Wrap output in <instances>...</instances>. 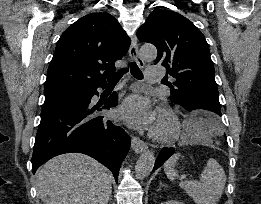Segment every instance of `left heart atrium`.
Segmentation results:
<instances>
[{
  "label": "left heart atrium",
  "instance_id": "39dd6f15",
  "mask_svg": "<svg viewBox=\"0 0 261 204\" xmlns=\"http://www.w3.org/2000/svg\"><path fill=\"white\" fill-rule=\"evenodd\" d=\"M117 115L136 129L153 127L157 118L150 101L141 95L127 97L117 109Z\"/></svg>",
  "mask_w": 261,
  "mask_h": 204
}]
</instances>
